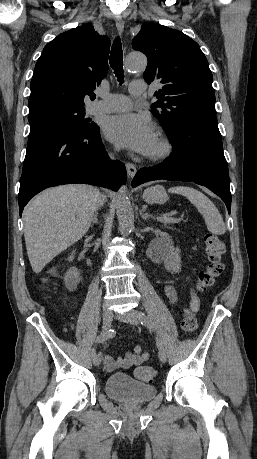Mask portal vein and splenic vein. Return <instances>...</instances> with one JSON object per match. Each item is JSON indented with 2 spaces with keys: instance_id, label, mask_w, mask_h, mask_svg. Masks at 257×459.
I'll return each mask as SVG.
<instances>
[{
  "instance_id": "1",
  "label": "portal vein and splenic vein",
  "mask_w": 257,
  "mask_h": 459,
  "mask_svg": "<svg viewBox=\"0 0 257 459\" xmlns=\"http://www.w3.org/2000/svg\"><path fill=\"white\" fill-rule=\"evenodd\" d=\"M173 214H175V212H174V213H170V214H166L165 217L159 218V220L166 219V220H168L169 222H179V220L170 217V216L173 215Z\"/></svg>"
}]
</instances>
